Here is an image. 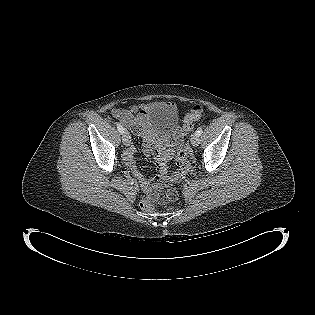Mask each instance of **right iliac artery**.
<instances>
[{
    "label": "right iliac artery",
    "instance_id": "obj_1",
    "mask_svg": "<svg viewBox=\"0 0 315 315\" xmlns=\"http://www.w3.org/2000/svg\"><path fill=\"white\" fill-rule=\"evenodd\" d=\"M117 129H118V131L120 132V133H124V128L122 127V125L121 124H117Z\"/></svg>",
    "mask_w": 315,
    "mask_h": 315
}]
</instances>
